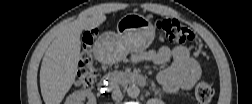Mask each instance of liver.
<instances>
[{"instance_id": "liver-1", "label": "liver", "mask_w": 252, "mask_h": 104, "mask_svg": "<svg viewBox=\"0 0 252 104\" xmlns=\"http://www.w3.org/2000/svg\"><path fill=\"white\" fill-rule=\"evenodd\" d=\"M106 20L102 13L62 26L47 48L40 69V89L47 104H59L75 81L80 60L83 30H91Z\"/></svg>"}]
</instances>
